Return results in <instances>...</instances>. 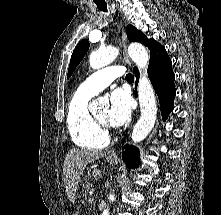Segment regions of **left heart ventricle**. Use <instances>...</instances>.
Here are the masks:
<instances>
[{
	"label": "left heart ventricle",
	"instance_id": "obj_1",
	"mask_svg": "<svg viewBox=\"0 0 221 215\" xmlns=\"http://www.w3.org/2000/svg\"><path fill=\"white\" fill-rule=\"evenodd\" d=\"M97 117H98L100 120L106 121V120H107V117H108V111H107V110L102 111L99 115H97Z\"/></svg>",
	"mask_w": 221,
	"mask_h": 215
}]
</instances>
